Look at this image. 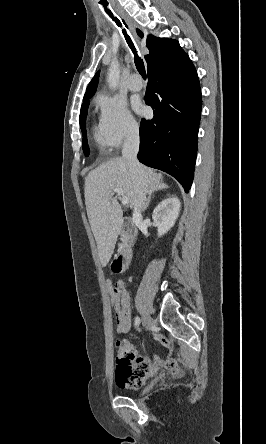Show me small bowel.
I'll return each instance as SVG.
<instances>
[{
    "label": "small bowel",
    "instance_id": "c3829d8e",
    "mask_svg": "<svg viewBox=\"0 0 266 444\" xmlns=\"http://www.w3.org/2000/svg\"><path fill=\"white\" fill-rule=\"evenodd\" d=\"M117 331L127 333L131 327V300L124 290L119 306L115 308ZM158 340L165 346L168 341L162 337ZM158 372L179 374L180 368L177 359H161L156 355L138 356L135 348L128 341L117 342V358L115 368V381L118 387L126 389H139L147 379Z\"/></svg>",
    "mask_w": 266,
    "mask_h": 444
}]
</instances>
